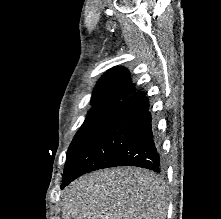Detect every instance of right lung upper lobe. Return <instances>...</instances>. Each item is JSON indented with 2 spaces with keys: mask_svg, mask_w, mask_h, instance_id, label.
Listing matches in <instances>:
<instances>
[{
  "mask_svg": "<svg viewBox=\"0 0 221 219\" xmlns=\"http://www.w3.org/2000/svg\"><path fill=\"white\" fill-rule=\"evenodd\" d=\"M135 91L127 69L114 67L107 71L98 81L91 97V103L106 101L120 103L134 94Z\"/></svg>",
  "mask_w": 221,
  "mask_h": 219,
  "instance_id": "cb5924a9",
  "label": "right lung upper lobe"
}]
</instances>
